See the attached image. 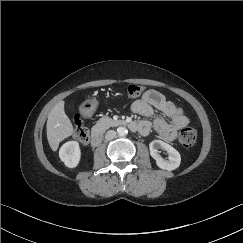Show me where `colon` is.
Instances as JSON below:
<instances>
[{
	"label": "colon",
	"mask_w": 243,
	"mask_h": 243,
	"mask_svg": "<svg viewBox=\"0 0 243 243\" xmlns=\"http://www.w3.org/2000/svg\"><path fill=\"white\" fill-rule=\"evenodd\" d=\"M143 92V88L139 85L132 84L126 89L127 96L131 99L140 97ZM75 122V137L82 143L87 142V130L83 125V118L80 114H76L74 117ZM197 139V133L195 129L191 127L184 128L180 133V143L185 147H190L195 144Z\"/></svg>",
	"instance_id": "5ec220e1"
}]
</instances>
